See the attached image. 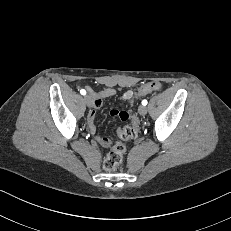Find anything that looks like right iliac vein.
I'll return each instance as SVG.
<instances>
[{"instance_id": "obj_1", "label": "right iliac vein", "mask_w": 231, "mask_h": 231, "mask_svg": "<svg viewBox=\"0 0 231 231\" xmlns=\"http://www.w3.org/2000/svg\"><path fill=\"white\" fill-rule=\"evenodd\" d=\"M84 99H85V102H86V104H87V106H88L89 108L93 107L94 101H93V98H92L90 95H86V96L84 97Z\"/></svg>"}]
</instances>
